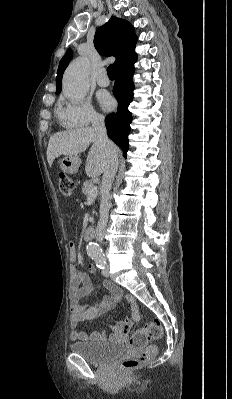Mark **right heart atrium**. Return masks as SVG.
I'll list each match as a JSON object with an SVG mask.
<instances>
[{
	"label": "right heart atrium",
	"instance_id": "obj_1",
	"mask_svg": "<svg viewBox=\"0 0 232 399\" xmlns=\"http://www.w3.org/2000/svg\"><path fill=\"white\" fill-rule=\"evenodd\" d=\"M56 115L61 125L67 129H74V125H90V122L100 121V116L90 106L79 103L58 105Z\"/></svg>",
	"mask_w": 232,
	"mask_h": 399
}]
</instances>
